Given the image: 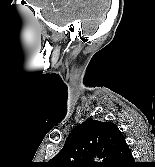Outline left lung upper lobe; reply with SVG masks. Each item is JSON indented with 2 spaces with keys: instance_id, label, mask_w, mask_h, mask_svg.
Here are the masks:
<instances>
[{
  "instance_id": "1",
  "label": "left lung upper lobe",
  "mask_w": 155,
  "mask_h": 167,
  "mask_svg": "<svg viewBox=\"0 0 155 167\" xmlns=\"http://www.w3.org/2000/svg\"><path fill=\"white\" fill-rule=\"evenodd\" d=\"M124 140L116 124L87 120L71 131L61 151L48 161V167H108ZM96 155L104 162L92 161Z\"/></svg>"
}]
</instances>
